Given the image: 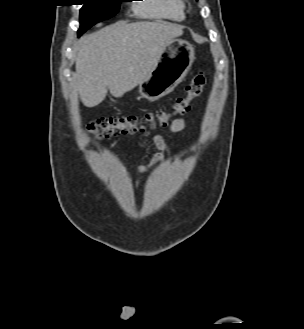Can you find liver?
<instances>
[{"label":"liver","mask_w":304,"mask_h":329,"mask_svg":"<svg viewBox=\"0 0 304 329\" xmlns=\"http://www.w3.org/2000/svg\"><path fill=\"white\" fill-rule=\"evenodd\" d=\"M183 34L177 24L119 22L80 39L75 85L82 103L95 107L106 97H122L145 81L171 39Z\"/></svg>","instance_id":"6515ba94"}]
</instances>
